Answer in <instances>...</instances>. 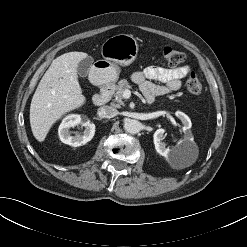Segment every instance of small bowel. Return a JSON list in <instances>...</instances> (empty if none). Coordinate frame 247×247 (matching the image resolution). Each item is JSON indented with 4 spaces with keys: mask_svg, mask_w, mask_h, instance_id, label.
Listing matches in <instances>:
<instances>
[{
    "mask_svg": "<svg viewBox=\"0 0 247 247\" xmlns=\"http://www.w3.org/2000/svg\"><path fill=\"white\" fill-rule=\"evenodd\" d=\"M189 66L164 68L149 66L142 71L135 72L132 80L140 87L147 102H153L156 96L176 91L181 86V80L189 73ZM159 81L161 84H155Z\"/></svg>",
    "mask_w": 247,
    "mask_h": 247,
    "instance_id": "obj_1",
    "label": "small bowel"
}]
</instances>
